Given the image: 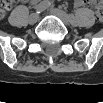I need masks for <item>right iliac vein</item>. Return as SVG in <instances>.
<instances>
[{"mask_svg": "<svg viewBox=\"0 0 103 103\" xmlns=\"http://www.w3.org/2000/svg\"><path fill=\"white\" fill-rule=\"evenodd\" d=\"M38 19H39V14L33 13L29 17V23L30 24H34V23H36L38 21Z\"/></svg>", "mask_w": 103, "mask_h": 103, "instance_id": "1", "label": "right iliac vein"}]
</instances>
